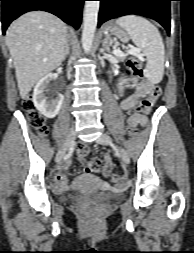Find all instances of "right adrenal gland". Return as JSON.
Returning <instances> with one entry per match:
<instances>
[{"instance_id":"right-adrenal-gland-1","label":"right adrenal gland","mask_w":194,"mask_h":253,"mask_svg":"<svg viewBox=\"0 0 194 253\" xmlns=\"http://www.w3.org/2000/svg\"><path fill=\"white\" fill-rule=\"evenodd\" d=\"M70 47H69V35L67 36L66 43H65V50L63 55V60L66 59V57L69 55Z\"/></svg>"}]
</instances>
